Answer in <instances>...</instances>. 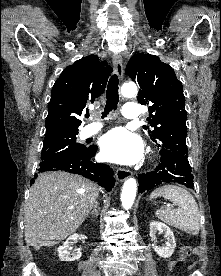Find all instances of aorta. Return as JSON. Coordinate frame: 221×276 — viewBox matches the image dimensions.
Returning <instances> with one entry per match:
<instances>
[{
    "instance_id": "1",
    "label": "aorta",
    "mask_w": 221,
    "mask_h": 276,
    "mask_svg": "<svg viewBox=\"0 0 221 276\" xmlns=\"http://www.w3.org/2000/svg\"><path fill=\"white\" fill-rule=\"evenodd\" d=\"M137 86L134 83H125L121 88L124 97H135L137 95ZM137 191V183L134 178H128L123 185L121 193V203L124 209L132 207Z\"/></svg>"
}]
</instances>
